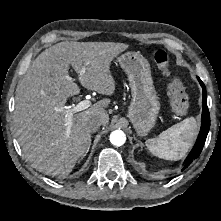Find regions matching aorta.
Listing matches in <instances>:
<instances>
[{"label": "aorta", "mask_w": 221, "mask_h": 221, "mask_svg": "<svg viewBox=\"0 0 221 221\" xmlns=\"http://www.w3.org/2000/svg\"><path fill=\"white\" fill-rule=\"evenodd\" d=\"M126 141V135L122 130L112 131L110 134V142L114 146H122Z\"/></svg>", "instance_id": "1"}]
</instances>
